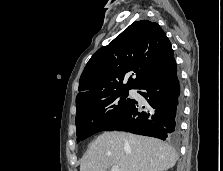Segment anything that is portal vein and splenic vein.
Listing matches in <instances>:
<instances>
[{"label":"portal vein and splenic vein","instance_id":"portal-vein-and-splenic-vein-1","mask_svg":"<svg viewBox=\"0 0 223 171\" xmlns=\"http://www.w3.org/2000/svg\"><path fill=\"white\" fill-rule=\"evenodd\" d=\"M110 171H120L118 166H112Z\"/></svg>","mask_w":223,"mask_h":171}]
</instances>
